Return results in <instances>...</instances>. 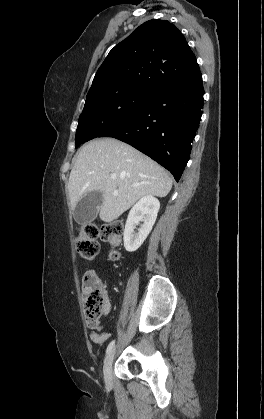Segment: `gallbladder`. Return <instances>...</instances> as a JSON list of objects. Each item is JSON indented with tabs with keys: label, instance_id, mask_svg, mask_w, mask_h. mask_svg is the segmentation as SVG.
Listing matches in <instances>:
<instances>
[{
	"label": "gallbladder",
	"instance_id": "1",
	"mask_svg": "<svg viewBox=\"0 0 264 419\" xmlns=\"http://www.w3.org/2000/svg\"><path fill=\"white\" fill-rule=\"evenodd\" d=\"M103 202V195L100 191L86 193L74 208V219L79 224L92 222Z\"/></svg>",
	"mask_w": 264,
	"mask_h": 419
}]
</instances>
